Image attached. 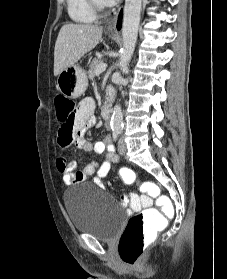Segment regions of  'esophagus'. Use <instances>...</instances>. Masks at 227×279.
Masks as SVG:
<instances>
[{"mask_svg": "<svg viewBox=\"0 0 227 279\" xmlns=\"http://www.w3.org/2000/svg\"><path fill=\"white\" fill-rule=\"evenodd\" d=\"M118 13L112 18L105 27V31L108 33H116V23H117Z\"/></svg>", "mask_w": 227, "mask_h": 279, "instance_id": "1", "label": "esophagus"}]
</instances>
